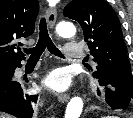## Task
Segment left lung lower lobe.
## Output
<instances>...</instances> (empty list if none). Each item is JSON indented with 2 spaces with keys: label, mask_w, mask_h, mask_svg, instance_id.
Masks as SVG:
<instances>
[{
  "label": "left lung lower lobe",
  "mask_w": 133,
  "mask_h": 118,
  "mask_svg": "<svg viewBox=\"0 0 133 118\" xmlns=\"http://www.w3.org/2000/svg\"><path fill=\"white\" fill-rule=\"evenodd\" d=\"M99 93L103 100L113 109H126L133 106V98L123 90L100 83Z\"/></svg>",
  "instance_id": "1"
}]
</instances>
